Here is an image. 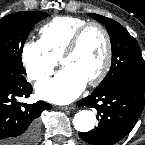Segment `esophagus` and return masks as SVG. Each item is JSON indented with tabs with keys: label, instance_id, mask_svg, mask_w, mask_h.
Segmentation results:
<instances>
[{
	"label": "esophagus",
	"instance_id": "obj_1",
	"mask_svg": "<svg viewBox=\"0 0 145 145\" xmlns=\"http://www.w3.org/2000/svg\"><path fill=\"white\" fill-rule=\"evenodd\" d=\"M59 109H61V110H73V109H75V106L74 105H69V106H61V107H59Z\"/></svg>",
	"mask_w": 145,
	"mask_h": 145
}]
</instances>
